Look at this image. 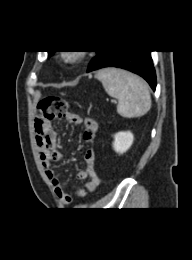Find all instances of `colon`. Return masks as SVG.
I'll list each match as a JSON object with an SVG mask.
<instances>
[{
  "label": "colon",
  "mask_w": 192,
  "mask_h": 260,
  "mask_svg": "<svg viewBox=\"0 0 192 260\" xmlns=\"http://www.w3.org/2000/svg\"><path fill=\"white\" fill-rule=\"evenodd\" d=\"M70 114L67 101L58 96H48L42 99L37 108L38 121H51L56 118H66ZM84 139L90 141L94 135L85 130Z\"/></svg>",
  "instance_id": "obj_1"
}]
</instances>
